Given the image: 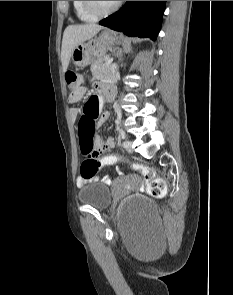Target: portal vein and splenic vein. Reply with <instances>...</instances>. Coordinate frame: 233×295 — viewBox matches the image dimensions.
<instances>
[{
	"label": "portal vein and splenic vein",
	"mask_w": 233,
	"mask_h": 295,
	"mask_svg": "<svg viewBox=\"0 0 233 295\" xmlns=\"http://www.w3.org/2000/svg\"><path fill=\"white\" fill-rule=\"evenodd\" d=\"M113 61V59L112 58H110V59H108V61H107V65H109L111 62Z\"/></svg>",
	"instance_id": "obj_1"
}]
</instances>
